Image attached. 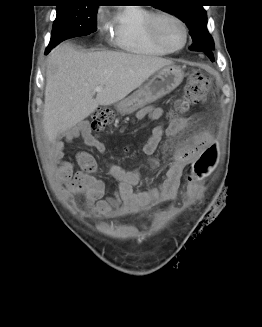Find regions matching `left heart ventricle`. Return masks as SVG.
<instances>
[{"label": "left heart ventricle", "instance_id": "b2bd125f", "mask_svg": "<svg viewBox=\"0 0 262 327\" xmlns=\"http://www.w3.org/2000/svg\"><path fill=\"white\" fill-rule=\"evenodd\" d=\"M159 29L164 40L172 47H179L184 41V31L176 21L163 18L159 23Z\"/></svg>", "mask_w": 262, "mask_h": 327}]
</instances>
